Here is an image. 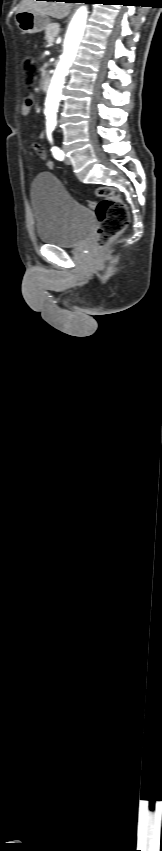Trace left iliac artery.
<instances>
[{
    "instance_id": "44dca946",
    "label": "left iliac artery",
    "mask_w": 162,
    "mask_h": 851,
    "mask_svg": "<svg viewBox=\"0 0 162 851\" xmlns=\"http://www.w3.org/2000/svg\"><path fill=\"white\" fill-rule=\"evenodd\" d=\"M54 128H55V124L50 123V124H48V125H47V137H48V140H49L51 143L53 142V139H52V131L54 130ZM51 151H52V153H53V156H54L57 160H60V161H61V160H63V158H64V153H63V151H62V150H60V149H59L58 147H56V146H53V147H52V149H51Z\"/></svg>"
}]
</instances>
